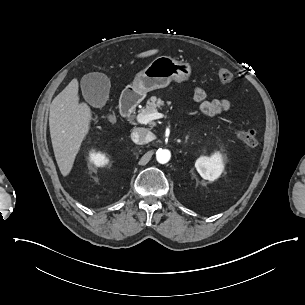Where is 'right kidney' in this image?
I'll list each match as a JSON object with an SVG mask.
<instances>
[{
	"instance_id": "right-kidney-1",
	"label": "right kidney",
	"mask_w": 305,
	"mask_h": 305,
	"mask_svg": "<svg viewBox=\"0 0 305 305\" xmlns=\"http://www.w3.org/2000/svg\"><path fill=\"white\" fill-rule=\"evenodd\" d=\"M88 162L93 169H96L98 167H104L105 165H108L110 160L106 154L91 150L89 151Z\"/></svg>"
}]
</instances>
